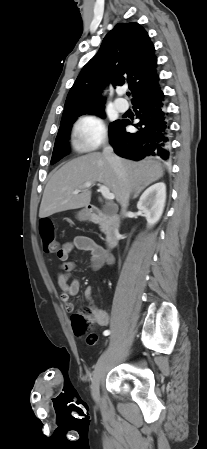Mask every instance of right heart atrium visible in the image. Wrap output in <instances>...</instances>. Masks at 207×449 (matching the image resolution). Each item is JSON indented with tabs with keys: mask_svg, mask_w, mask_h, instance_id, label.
<instances>
[{
	"mask_svg": "<svg viewBox=\"0 0 207 449\" xmlns=\"http://www.w3.org/2000/svg\"><path fill=\"white\" fill-rule=\"evenodd\" d=\"M73 133L76 147L83 151H91L105 140L106 127L99 116L90 113L77 119Z\"/></svg>",
	"mask_w": 207,
	"mask_h": 449,
	"instance_id": "d8ad5b80",
	"label": "right heart atrium"
}]
</instances>
